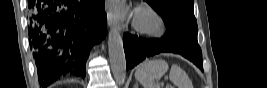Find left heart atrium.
<instances>
[{"label":"left heart atrium","mask_w":267,"mask_h":88,"mask_svg":"<svg viewBox=\"0 0 267 88\" xmlns=\"http://www.w3.org/2000/svg\"><path fill=\"white\" fill-rule=\"evenodd\" d=\"M110 11L112 16L119 20L124 19L127 15L126 6L119 1H114L111 3Z\"/></svg>","instance_id":"39dd6f15"}]
</instances>
